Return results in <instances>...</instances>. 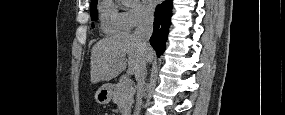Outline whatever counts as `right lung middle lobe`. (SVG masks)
<instances>
[{"mask_svg":"<svg viewBox=\"0 0 285 115\" xmlns=\"http://www.w3.org/2000/svg\"><path fill=\"white\" fill-rule=\"evenodd\" d=\"M96 7H97V0H95L94 2H91V6H90V14H91L92 21L98 18Z\"/></svg>","mask_w":285,"mask_h":115,"instance_id":"obj_1","label":"right lung middle lobe"}]
</instances>
